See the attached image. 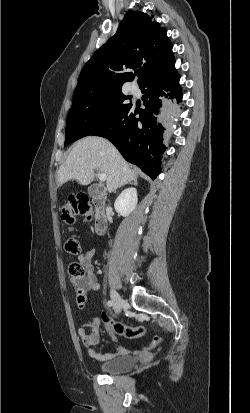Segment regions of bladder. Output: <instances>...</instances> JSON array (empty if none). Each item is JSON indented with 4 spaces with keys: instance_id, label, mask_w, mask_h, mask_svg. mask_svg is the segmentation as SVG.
I'll return each instance as SVG.
<instances>
[{
    "instance_id": "31cf9c89",
    "label": "bladder",
    "mask_w": 250,
    "mask_h": 413,
    "mask_svg": "<svg viewBox=\"0 0 250 413\" xmlns=\"http://www.w3.org/2000/svg\"><path fill=\"white\" fill-rule=\"evenodd\" d=\"M135 363L133 356L122 355L101 363L99 370L105 374H119L131 370Z\"/></svg>"
}]
</instances>
